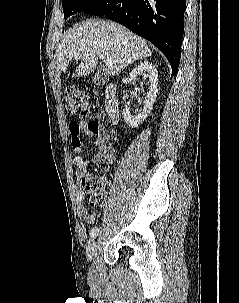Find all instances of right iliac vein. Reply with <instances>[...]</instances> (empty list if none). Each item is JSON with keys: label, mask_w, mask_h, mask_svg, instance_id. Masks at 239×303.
<instances>
[{"label": "right iliac vein", "mask_w": 239, "mask_h": 303, "mask_svg": "<svg viewBox=\"0 0 239 303\" xmlns=\"http://www.w3.org/2000/svg\"><path fill=\"white\" fill-rule=\"evenodd\" d=\"M98 249V241L97 239H93L92 242L90 243L88 250H87V261L91 262L93 260V258L96 255Z\"/></svg>", "instance_id": "1"}]
</instances>
